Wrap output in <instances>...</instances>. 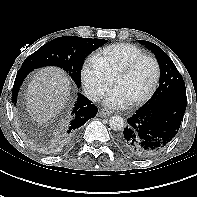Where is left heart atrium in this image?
I'll use <instances>...</instances> for the list:
<instances>
[{"label":"left heart atrium","mask_w":197,"mask_h":197,"mask_svg":"<svg viewBox=\"0 0 197 197\" xmlns=\"http://www.w3.org/2000/svg\"><path fill=\"white\" fill-rule=\"evenodd\" d=\"M104 102L106 105L112 107H123L128 104V100L117 87L113 88L106 94Z\"/></svg>","instance_id":"1"}]
</instances>
